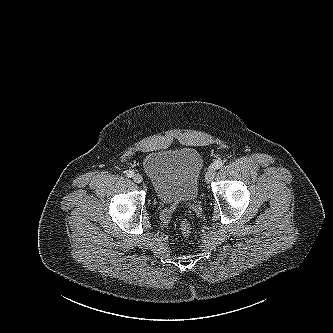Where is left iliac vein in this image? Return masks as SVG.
<instances>
[{"label":"left iliac vein","instance_id":"left-iliac-vein-1","mask_svg":"<svg viewBox=\"0 0 333 333\" xmlns=\"http://www.w3.org/2000/svg\"><path fill=\"white\" fill-rule=\"evenodd\" d=\"M215 175H216V168L210 166L206 175H205L206 181L208 183L211 182L214 179Z\"/></svg>","mask_w":333,"mask_h":333}]
</instances>
